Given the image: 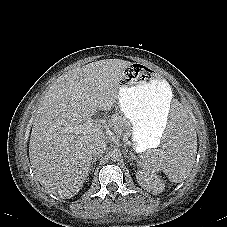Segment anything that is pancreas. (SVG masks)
Segmentation results:
<instances>
[{"instance_id":"1","label":"pancreas","mask_w":227,"mask_h":227,"mask_svg":"<svg viewBox=\"0 0 227 227\" xmlns=\"http://www.w3.org/2000/svg\"><path fill=\"white\" fill-rule=\"evenodd\" d=\"M109 121L112 128L118 133L123 132L130 125L125 117L118 114L113 115Z\"/></svg>"}]
</instances>
